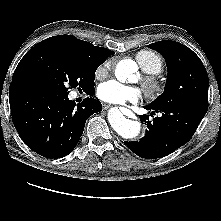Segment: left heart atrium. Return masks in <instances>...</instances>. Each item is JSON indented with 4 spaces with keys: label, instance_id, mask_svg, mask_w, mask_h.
I'll list each match as a JSON object with an SVG mask.
<instances>
[{
    "label": "left heart atrium",
    "instance_id": "1",
    "mask_svg": "<svg viewBox=\"0 0 221 221\" xmlns=\"http://www.w3.org/2000/svg\"><path fill=\"white\" fill-rule=\"evenodd\" d=\"M142 90L138 87L122 84L116 80H108L99 85L98 97L111 104L136 103L142 97Z\"/></svg>",
    "mask_w": 221,
    "mask_h": 221
}]
</instances>
